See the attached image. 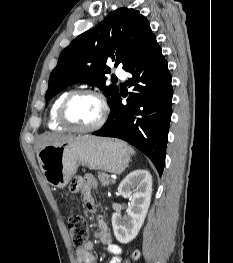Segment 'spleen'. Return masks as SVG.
<instances>
[{
    "label": "spleen",
    "mask_w": 233,
    "mask_h": 263,
    "mask_svg": "<svg viewBox=\"0 0 233 263\" xmlns=\"http://www.w3.org/2000/svg\"><path fill=\"white\" fill-rule=\"evenodd\" d=\"M129 151L131 154H135V151L131 147L129 148Z\"/></svg>",
    "instance_id": "spleen-1"
}]
</instances>
